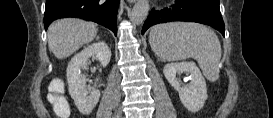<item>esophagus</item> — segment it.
<instances>
[{
  "label": "esophagus",
  "mask_w": 273,
  "mask_h": 118,
  "mask_svg": "<svg viewBox=\"0 0 273 118\" xmlns=\"http://www.w3.org/2000/svg\"><path fill=\"white\" fill-rule=\"evenodd\" d=\"M128 2L134 3V2H136V0H128Z\"/></svg>",
  "instance_id": "34e87169"
}]
</instances>
